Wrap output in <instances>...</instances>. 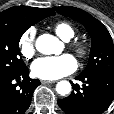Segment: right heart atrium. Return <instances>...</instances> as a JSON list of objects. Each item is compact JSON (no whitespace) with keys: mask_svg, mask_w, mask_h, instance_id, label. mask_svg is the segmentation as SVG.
<instances>
[{"mask_svg":"<svg viewBox=\"0 0 114 114\" xmlns=\"http://www.w3.org/2000/svg\"><path fill=\"white\" fill-rule=\"evenodd\" d=\"M35 36V29L29 28L23 32L19 39V51L26 59H30L35 53Z\"/></svg>","mask_w":114,"mask_h":114,"instance_id":"obj_1","label":"right heart atrium"}]
</instances>
